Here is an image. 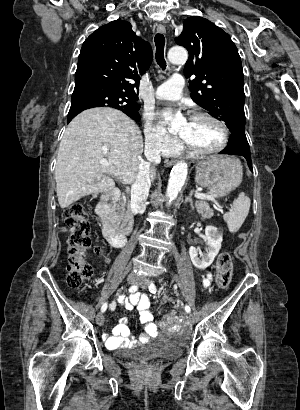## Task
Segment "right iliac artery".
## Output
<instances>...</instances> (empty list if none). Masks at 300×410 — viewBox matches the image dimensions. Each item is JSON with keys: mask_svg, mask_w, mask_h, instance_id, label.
<instances>
[{"mask_svg": "<svg viewBox=\"0 0 300 410\" xmlns=\"http://www.w3.org/2000/svg\"><path fill=\"white\" fill-rule=\"evenodd\" d=\"M137 289H138V286H137V285H133V286H131V287L129 288V292L134 293V292L137 291ZM106 309H107V303H104V304L102 305V307H101V312H102V313L105 312Z\"/></svg>", "mask_w": 300, "mask_h": 410, "instance_id": "82829eb1", "label": "right iliac artery"}]
</instances>
